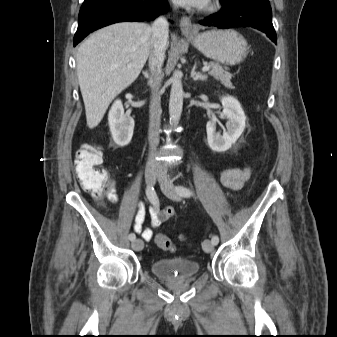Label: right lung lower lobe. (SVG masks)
Instances as JSON below:
<instances>
[{
    "instance_id": "98d812e1",
    "label": "right lung lower lobe",
    "mask_w": 337,
    "mask_h": 337,
    "mask_svg": "<svg viewBox=\"0 0 337 337\" xmlns=\"http://www.w3.org/2000/svg\"><path fill=\"white\" fill-rule=\"evenodd\" d=\"M167 7V0H85L79 12L74 46L101 27L124 21L153 20Z\"/></svg>"
}]
</instances>
